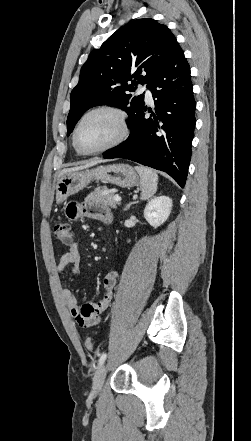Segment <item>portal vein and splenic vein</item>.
<instances>
[{
	"label": "portal vein and splenic vein",
	"instance_id": "18ae733b",
	"mask_svg": "<svg viewBox=\"0 0 251 441\" xmlns=\"http://www.w3.org/2000/svg\"><path fill=\"white\" fill-rule=\"evenodd\" d=\"M113 199H114V201H116L117 203H120V202H121V197L118 196V195H115V196L113 197Z\"/></svg>",
	"mask_w": 251,
	"mask_h": 441
}]
</instances>
